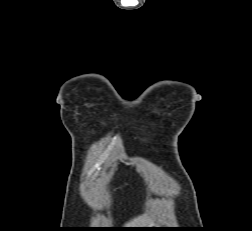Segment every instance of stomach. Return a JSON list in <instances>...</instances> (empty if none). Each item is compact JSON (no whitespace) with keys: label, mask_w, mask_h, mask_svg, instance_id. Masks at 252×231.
I'll list each match as a JSON object with an SVG mask.
<instances>
[{"label":"stomach","mask_w":252,"mask_h":231,"mask_svg":"<svg viewBox=\"0 0 252 231\" xmlns=\"http://www.w3.org/2000/svg\"><path fill=\"white\" fill-rule=\"evenodd\" d=\"M144 228H148V229H143V230L150 231V230H160V229H157V228H164V227H160L158 224H152V225H150L148 227H144Z\"/></svg>","instance_id":"obj_1"}]
</instances>
